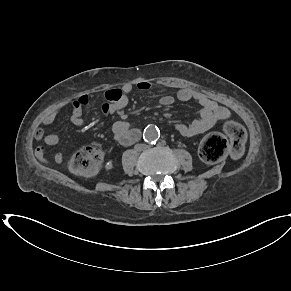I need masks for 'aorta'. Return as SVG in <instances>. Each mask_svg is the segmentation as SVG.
I'll list each match as a JSON object with an SVG mask.
<instances>
[{
  "instance_id": "aorta-1",
  "label": "aorta",
  "mask_w": 291,
  "mask_h": 291,
  "mask_svg": "<svg viewBox=\"0 0 291 291\" xmlns=\"http://www.w3.org/2000/svg\"><path fill=\"white\" fill-rule=\"evenodd\" d=\"M160 137L159 129L154 125H148L143 133V138L147 143H153Z\"/></svg>"
}]
</instances>
